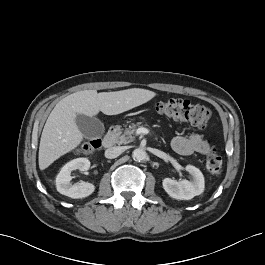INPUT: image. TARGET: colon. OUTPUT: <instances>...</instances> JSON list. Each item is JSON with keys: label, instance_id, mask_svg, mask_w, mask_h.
<instances>
[{"label": "colon", "instance_id": "1", "mask_svg": "<svg viewBox=\"0 0 265 265\" xmlns=\"http://www.w3.org/2000/svg\"><path fill=\"white\" fill-rule=\"evenodd\" d=\"M158 113L190 123L193 126L202 128L205 127L211 117L210 110L198 104H192L181 99H169L161 101L155 106ZM100 146V140L95 139L87 142L83 148L85 153H91ZM222 158L215 147H210V152L206 157V169L212 174L216 175L221 171Z\"/></svg>", "mask_w": 265, "mask_h": 265}]
</instances>
